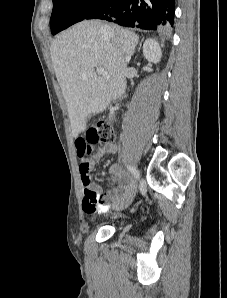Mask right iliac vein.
I'll list each match as a JSON object with an SVG mask.
<instances>
[{
    "label": "right iliac vein",
    "mask_w": 227,
    "mask_h": 298,
    "mask_svg": "<svg viewBox=\"0 0 227 298\" xmlns=\"http://www.w3.org/2000/svg\"><path fill=\"white\" fill-rule=\"evenodd\" d=\"M134 193L135 192L131 193L126 199L122 200L121 202L115 203L113 205V208L115 210H121V209H124V208L128 207L131 204L132 200H133Z\"/></svg>",
    "instance_id": "63e3f726"
}]
</instances>
